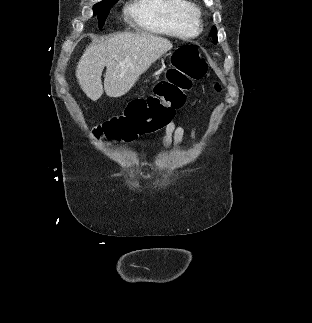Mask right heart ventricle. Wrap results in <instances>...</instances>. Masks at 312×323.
Here are the masks:
<instances>
[{"mask_svg": "<svg viewBox=\"0 0 312 323\" xmlns=\"http://www.w3.org/2000/svg\"><path fill=\"white\" fill-rule=\"evenodd\" d=\"M125 20H134L139 29L152 33H198L199 22L186 1L132 0Z\"/></svg>", "mask_w": 312, "mask_h": 323, "instance_id": "obj_1", "label": "right heart ventricle"}]
</instances>
